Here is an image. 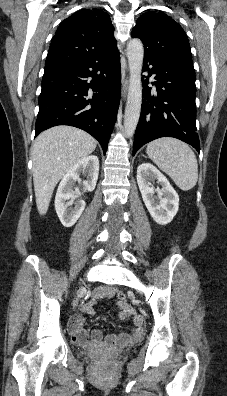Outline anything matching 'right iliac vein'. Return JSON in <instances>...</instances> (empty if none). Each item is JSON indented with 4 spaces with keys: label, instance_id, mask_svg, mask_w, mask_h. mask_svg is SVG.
I'll return each instance as SVG.
<instances>
[{
    "label": "right iliac vein",
    "instance_id": "1",
    "mask_svg": "<svg viewBox=\"0 0 227 396\" xmlns=\"http://www.w3.org/2000/svg\"><path fill=\"white\" fill-rule=\"evenodd\" d=\"M83 294H84L83 290L79 289L77 292L76 298L74 299V302H73L74 308L77 306L79 300L83 297Z\"/></svg>",
    "mask_w": 227,
    "mask_h": 396
}]
</instances>
